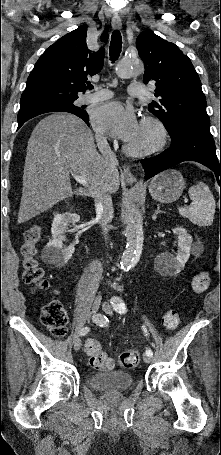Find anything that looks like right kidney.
<instances>
[{
	"label": "right kidney",
	"mask_w": 221,
	"mask_h": 455,
	"mask_svg": "<svg viewBox=\"0 0 221 455\" xmlns=\"http://www.w3.org/2000/svg\"><path fill=\"white\" fill-rule=\"evenodd\" d=\"M80 220V216L75 213L57 214L52 223V238L42 251V259L56 267H62L72 257L75 251V244L71 243L68 247H63L66 240L65 232L70 224H75Z\"/></svg>",
	"instance_id": "obj_1"
}]
</instances>
